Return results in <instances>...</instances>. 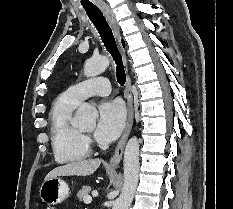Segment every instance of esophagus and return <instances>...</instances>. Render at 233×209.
I'll list each match as a JSON object with an SVG mask.
<instances>
[{"label": "esophagus", "mask_w": 233, "mask_h": 209, "mask_svg": "<svg viewBox=\"0 0 233 209\" xmlns=\"http://www.w3.org/2000/svg\"><path fill=\"white\" fill-rule=\"evenodd\" d=\"M99 7L102 10L104 16L106 17V19L108 20L109 24L111 25V27L113 29L114 35L118 41V44H119V47L121 50L123 63H124L126 73H127L125 98L127 101L128 115H127L126 127H125V130H124V133H123L121 139L119 140V142L117 144L115 152L109 161L110 166H117L122 159L124 147H125L126 141L130 135V132H131V129L133 126V121H134L133 96H132V92H131V80H130V76L128 73L127 57H126V54L121 46L120 30H119V26H118L116 17L114 15L112 9L108 5L102 4Z\"/></svg>", "instance_id": "1"}]
</instances>
